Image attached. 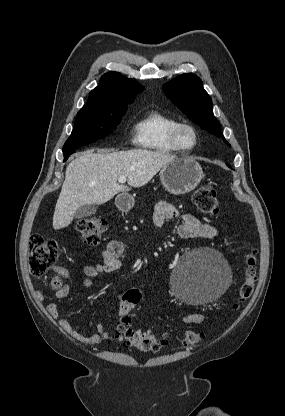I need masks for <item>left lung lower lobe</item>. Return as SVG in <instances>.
I'll list each match as a JSON object with an SVG mask.
<instances>
[{
    "instance_id": "1",
    "label": "left lung lower lobe",
    "mask_w": 285,
    "mask_h": 416,
    "mask_svg": "<svg viewBox=\"0 0 285 416\" xmlns=\"http://www.w3.org/2000/svg\"><path fill=\"white\" fill-rule=\"evenodd\" d=\"M227 166L231 168V166H230V165H228V164H227Z\"/></svg>"
}]
</instances>
